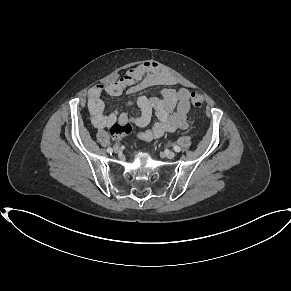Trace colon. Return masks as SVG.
I'll return each mask as SVG.
<instances>
[{
	"instance_id": "colon-1",
	"label": "colon",
	"mask_w": 291,
	"mask_h": 291,
	"mask_svg": "<svg viewBox=\"0 0 291 291\" xmlns=\"http://www.w3.org/2000/svg\"><path fill=\"white\" fill-rule=\"evenodd\" d=\"M190 101L195 108H200L204 104V97L198 92H193L190 95ZM131 132L132 127L128 123H114L110 129V133L114 138H120L124 135L130 134Z\"/></svg>"
}]
</instances>
